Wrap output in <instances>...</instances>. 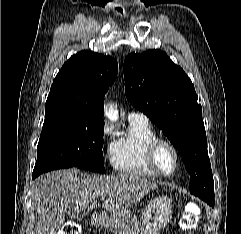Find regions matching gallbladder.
<instances>
[{
	"instance_id": "1",
	"label": "gallbladder",
	"mask_w": 241,
	"mask_h": 234,
	"mask_svg": "<svg viewBox=\"0 0 241 234\" xmlns=\"http://www.w3.org/2000/svg\"><path fill=\"white\" fill-rule=\"evenodd\" d=\"M83 217H84V211L83 210L73 212V218H75L77 220H82Z\"/></svg>"
}]
</instances>
